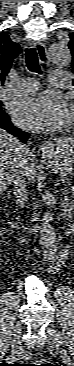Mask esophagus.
<instances>
[{
    "label": "esophagus",
    "mask_w": 74,
    "mask_h": 366,
    "mask_svg": "<svg viewBox=\"0 0 74 366\" xmlns=\"http://www.w3.org/2000/svg\"><path fill=\"white\" fill-rule=\"evenodd\" d=\"M33 46L36 49L41 62H43V63L46 62L47 61V53H46L45 46L41 42H34ZM48 151H49L48 147L46 145H43L42 146L43 155H47Z\"/></svg>",
    "instance_id": "34e87169"
}]
</instances>
